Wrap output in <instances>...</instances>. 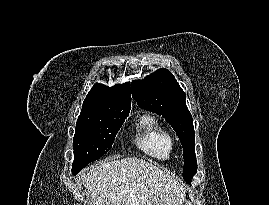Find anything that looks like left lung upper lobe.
<instances>
[{
	"instance_id": "obj_1",
	"label": "left lung upper lobe",
	"mask_w": 269,
	"mask_h": 205,
	"mask_svg": "<svg viewBox=\"0 0 269 205\" xmlns=\"http://www.w3.org/2000/svg\"><path fill=\"white\" fill-rule=\"evenodd\" d=\"M131 88L132 97L141 108L161 115L175 130L183 147V179L191 183L197 172V160L193 119L186 106L184 91L172 73L164 68L142 81H133Z\"/></svg>"
}]
</instances>
